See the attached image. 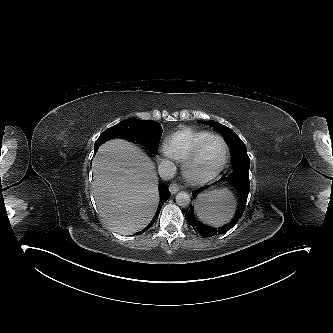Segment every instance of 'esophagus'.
I'll return each instance as SVG.
<instances>
[{
    "mask_svg": "<svg viewBox=\"0 0 333 333\" xmlns=\"http://www.w3.org/2000/svg\"><path fill=\"white\" fill-rule=\"evenodd\" d=\"M180 189V186L176 183H172L170 186H169V190L171 192V194H176Z\"/></svg>",
    "mask_w": 333,
    "mask_h": 333,
    "instance_id": "esophagus-1",
    "label": "esophagus"
}]
</instances>
